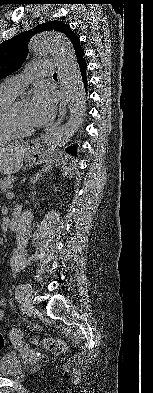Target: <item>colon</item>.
<instances>
[{"instance_id": "colon-1", "label": "colon", "mask_w": 153, "mask_h": 393, "mask_svg": "<svg viewBox=\"0 0 153 393\" xmlns=\"http://www.w3.org/2000/svg\"><path fill=\"white\" fill-rule=\"evenodd\" d=\"M31 342L36 345L43 346L47 351L53 354H64L68 351V347L60 340L53 339V338H41L39 336H34L31 339ZM6 339L0 333V350L5 347Z\"/></svg>"}]
</instances>
